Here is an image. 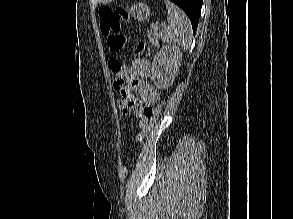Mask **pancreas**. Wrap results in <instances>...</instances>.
Returning <instances> with one entry per match:
<instances>
[{
  "label": "pancreas",
  "instance_id": "pancreas-1",
  "mask_svg": "<svg viewBox=\"0 0 293 219\" xmlns=\"http://www.w3.org/2000/svg\"><path fill=\"white\" fill-rule=\"evenodd\" d=\"M148 39L153 45L155 46L159 45V35L156 31L154 30L148 31Z\"/></svg>",
  "mask_w": 293,
  "mask_h": 219
}]
</instances>
